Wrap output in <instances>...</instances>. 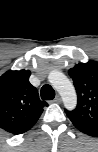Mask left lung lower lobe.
<instances>
[{
  "label": "left lung lower lobe",
  "mask_w": 98,
  "mask_h": 152,
  "mask_svg": "<svg viewBox=\"0 0 98 152\" xmlns=\"http://www.w3.org/2000/svg\"><path fill=\"white\" fill-rule=\"evenodd\" d=\"M77 129H79L81 132L86 133L87 135L90 136H98V129L88 127V126H83V125H74Z\"/></svg>",
  "instance_id": "left-lung-lower-lobe-1"
}]
</instances>
